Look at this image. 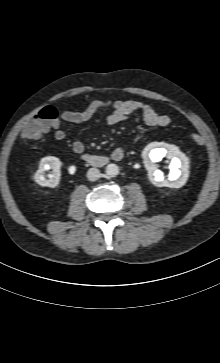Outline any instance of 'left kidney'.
Here are the masks:
<instances>
[{
  "label": "left kidney",
  "mask_w": 220,
  "mask_h": 363,
  "mask_svg": "<svg viewBox=\"0 0 220 363\" xmlns=\"http://www.w3.org/2000/svg\"><path fill=\"white\" fill-rule=\"evenodd\" d=\"M165 156L171 160L167 179L164 178L163 173L157 169L158 166L155 164ZM142 158L148 171V178L153 185L181 188L187 182L189 159L177 146L164 142H152L143 149Z\"/></svg>",
  "instance_id": "left-kidney-1"
}]
</instances>
